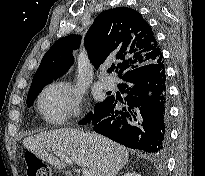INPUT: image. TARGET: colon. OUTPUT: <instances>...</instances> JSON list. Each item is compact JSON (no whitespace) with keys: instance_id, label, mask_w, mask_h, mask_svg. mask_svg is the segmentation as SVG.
Here are the masks:
<instances>
[{"instance_id":"obj_1","label":"colon","mask_w":205,"mask_h":176,"mask_svg":"<svg viewBox=\"0 0 205 176\" xmlns=\"http://www.w3.org/2000/svg\"><path fill=\"white\" fill-rule=\"evenodd\" d=\"M23 160L26 164L27 176H51L50 167L31 151H25Z\"/></svg>"}]
</instances>
